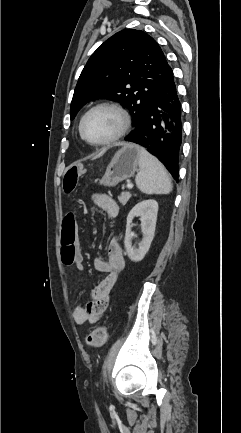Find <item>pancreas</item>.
<instances>
[{"label": "pancreas", "instance_id": "1", "mask_svg": "<svg viewBox=\"0 0 241 433\" xmlns=\"http://www.w3.org/2000/svg\"><path fill=\"white\" fill-rule=\"evenodd\" d=\"M131 197L130 192H122L120 196H118V201L124 206L128 202Z\"/></svg>", "mask_w": 241, "mask_h": 433}]
</instances>
